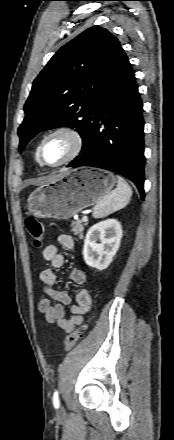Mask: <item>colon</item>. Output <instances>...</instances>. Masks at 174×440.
<instances>
[{"instance_id":"1","label":"colon","mask_w":174,"mask_h":440,"mask_svg":"<svg viewBox=\"0 0 174 440\" xmlns=\"http://www.w3.org/2000/svg\"><path fill=\"white\" fill-rule=\"evenodd\" d=\"M25 225L33 239L34 246L36 248H41L43 246L44 239V228L42 223L33 217H29L26 220ZM87 327L88 323H84L67 336L64 346L65 351H70L78 343V341L82 339Z\"/></svg>"}]
</instances>
